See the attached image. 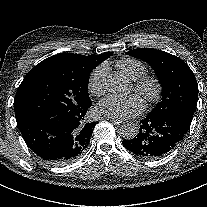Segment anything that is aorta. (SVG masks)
Wrapping results in <instances>:
<instances>
[{"instance_id":"1","label":"aorta","mask_w":207,"mask_h":207,"mask_svg":"<svg viewBox=\"0 0 207 207\" xmlns=\"http://www.w3.org/2000/svg\"><path fill=\"white\" fill-rule=\"evenodd\" d=\"M106 88L114 94H123L128 90V79L121 73L109 75L105 80ZM139 133V126L134 122L123 123L120 129L121 136L126 140H131Z\"/></svg>"}]
</instances>
